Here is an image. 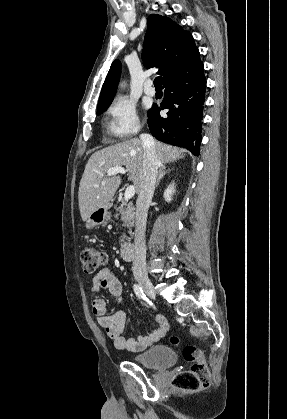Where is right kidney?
Wrapping results in <instances>:
<instances>
[{"mask_svg":"<svg viewBox=\"0 0 287 419\" xmlns=\"http://www.w3.org/2000/svg\"><path fill=\"white\" fill-rule=\"evenodd\" d=\"M174 193H175V186H174V183H172L164 191V199H165V201L169 203L172 200V195Z\"/></svg>","mask_w":287,"mask_h":419,"instance_id":"right-kidney-1","label":"right kidney"}]
</instances>
